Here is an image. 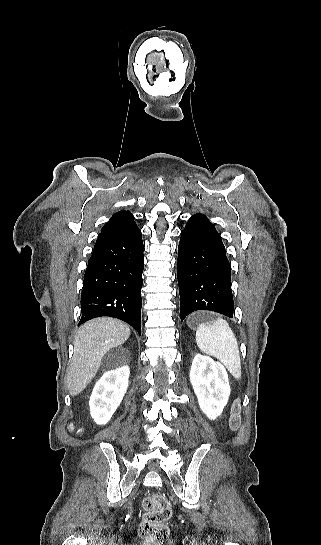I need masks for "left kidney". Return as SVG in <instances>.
<instances>
[{
  "instance_id": "obj_1",
  "label": "left kidney",
  "mask_w": 321,
  "mask_h": 545,
  "mask_svg": "<svg viewBox=\"0 0 321 545\" xmlns=\"http://www.w3.org/2000/svg\"><path fill=\"white\" fill-rule=\"evenodd\" d=\"M189 377L201 411L214 421L226 407L231 393L223 365L216 363L211 357L196 355Z\"/></svg>"
}]
</instances>
